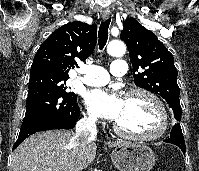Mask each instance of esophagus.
<instances>
[{
  "label": "esophagus",
  "instance_id": "1",
  "mask_svg": "<svg viewBox=\"0 0 199 171\" xmlns=\"http://www.w3.org/2000/svg\"><path fill=\"white\" fill-rule=\"evenodd\" d=\"M109 16H110V11H103L102 12V18H103V20L108 19Z\"/></svg>",
  "mask_w": 199,
  "mask_h": 171
}]
</instances>
